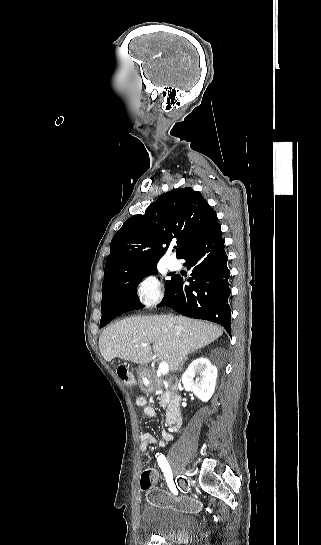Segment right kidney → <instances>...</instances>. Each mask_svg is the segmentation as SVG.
Listing matches in <instances>:
<instances>
[{"instance_id":"right-kidney-1","label":"right kidney","mask_w":321,"mask_h":545,"mask_svg":"<svg viewBox=\"0 0 321 545\" xmlns=\"http://www.w3.org/2000/svg\"><path fill=\"white\" fill-rule=\"evenodd\" d=\"M200 375L194 381V377ZM217 369L211 365L208 359L200 357L189 365L187 371L182 375V383L185 391H192L200 401L207 403L211 399L216 385Z\"/></svg>"}]
</instances>
